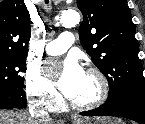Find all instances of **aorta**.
Returning <instances> with one entry per match:
<instances>
[{"label": "aorta", "mask_w": 145, "mask_h": 124, "mask_svg": "<svg viewBox=\"0 0 145 124\" xmlns=\"http://www.w3.org/2000/svg\"><path fill=\"white\" fill-rule=\"evenodd\" d=\"M64 26L74 27L80 22V15L74 10L66 11L61 16Z\"/></svg>", "instance_id": "obj_1"}]
</instances>
